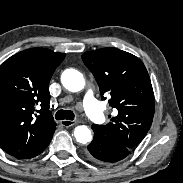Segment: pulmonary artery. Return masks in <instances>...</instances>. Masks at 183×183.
Masks as SVG:
<instances>
[{"label": "pulmonary artery", "mask_w": 183, "mask_h": 183, "mask_svg": "<svg viewBox=\"0 0 183 183\" xmlns=\"http://www.w3.org/2000/svg\"><path fill=\"white\" fill-rule=\"evenodd\" d=\"M83 108L88 117L95 123H101L104 119L101 104L96 100L92 90H88L83 99Z\"/></svg>", "instance_id": "1"}]
</instances>
